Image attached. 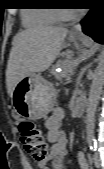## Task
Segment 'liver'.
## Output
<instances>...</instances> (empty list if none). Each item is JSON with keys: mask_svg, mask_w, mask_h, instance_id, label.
Masks as SVG:
<instances>
[{"mask_svg": "<svg viewBox=\"0 0 104 169\" xmlns=\"http://www.w3.org/2000/svg\"><path fill=\"white\" fill-rule=\"evenodd\" d=\"M68 32L65 27L38 26L21 31L14 37L6 70L9 96L21 79L51 66Z\"/></svg>", "mask_w": 104, "mask_h": 169, "instance_id": "obj_1", "label": "liver"}]
</instances>
